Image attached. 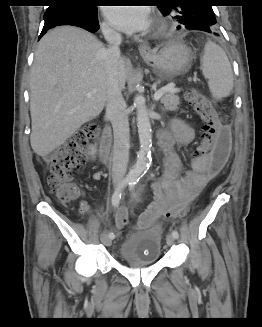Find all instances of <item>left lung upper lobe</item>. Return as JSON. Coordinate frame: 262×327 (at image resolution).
I'll return each instance as SVG.
<instances>
[{
  "label": "left lung upper lobe",
  "instance_id": "obj_1",
  "mask_svg": "<svg viewBox=\"0 0 262 327\" xmlns=\"http://www.w3.org/2000/svg\"><path fill=\"white\" fill-rule=\"evenodd\" d=\"M179 2L184 3V1ZM158 8L164 16L170 17L178 24V30H201L208 33L218 31L211 6L183 4L182 6L160 5Z\"/></svg>",
  "mask_w": 262,
  "mask_h": 327
}]
</instances>
